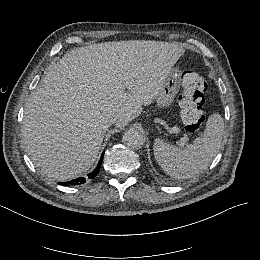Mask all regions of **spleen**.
Returning a JSON list of instances; mask_svg holds the SVG:
<instances>
[{
	"label": "spleen",
	"mask_w": 260,
	"mask_h": 260,
	"mask_svg": "<svg viewBox=\"0 0 260 260\" xmlns=\"http://www.w3.org/2000/svg\"><path fill=\"white\" fill-rule=\"evenodd\" d=\"M224 133V120L219 112H213L201 136L181 149L156 138L153 154L158 165L169 176L185 179L197 176L207 169L220 148Z\"/></svg>",
	"instance_id": "spleen-1"
}]
</instances>
